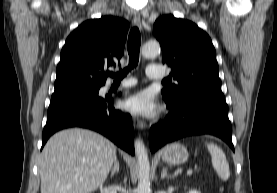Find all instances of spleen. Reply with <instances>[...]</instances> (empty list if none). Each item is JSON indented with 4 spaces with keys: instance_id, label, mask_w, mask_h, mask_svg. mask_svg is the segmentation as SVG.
I'll return each mask as SVG.
<instances>
[{
    "instance_id": "3e777b00",
    "label": "spleen",
    "mask_w": 277,
    "mask_h": 193,
    "mask_svg": "<svg viewBox=\"0 0 277 193\" xmlns=\"http://www.w3.org/2000/svg\"><path fill=\"white\" fill-rule=\"evenodd\" d=\"M208 151L211 155L212 166L216 170L219 178L223 181L230 177L229 164L223 150L213 143H206Z\"/></svg>"
}]
</instances>
